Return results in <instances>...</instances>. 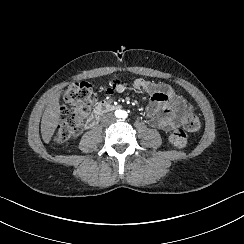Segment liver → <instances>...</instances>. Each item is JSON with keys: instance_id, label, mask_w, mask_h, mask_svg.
<instances>
[{"instance_id": "liver-1", "label": "liver", "mask_w": 244, "mask_h": 244, "mask_svg": "<svg viewBox=\"0 0 244 244\" xmlns=\"http://www.w3.org/2000/svg\"><path fill=\"white\" fill-rule=\"evenodd\" d=\"M60 93L51 96L41 121V134L44 142L49 144L61 121Z\"/></svg>"}]
</instances>
